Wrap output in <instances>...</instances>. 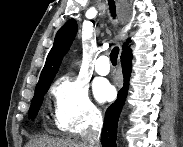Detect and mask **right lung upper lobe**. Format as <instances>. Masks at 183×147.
<instances>
[{
    "mask_svg": "<svg viewBox=\"0 0 183 147\" xmlns=\"http://www.w3.org/2000/svg\"><path fill=\"white\" fill-rule=\"evenodd\" d=\"M77 32V23L75 20H68L57 32L54 40V45L50 50L45 66L41 72L39 82L36 90L41 88L50 87L61 63L63 56L68 51ZM130 39L123 45V53L131 51L128 47Z\"/></svg>",
    "mask_w": 183,
    "mask_h": 147,
    "instance_id": "right-lung-upper-lobe-1",
    "label": "right lung upper lobe"
}]
</instances>
